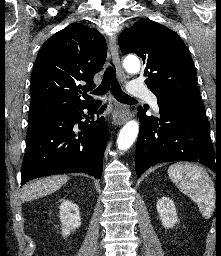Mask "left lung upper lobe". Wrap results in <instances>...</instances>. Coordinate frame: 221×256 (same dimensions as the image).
Segmentation results:
<instances>
[{"label":"left lung upper lobe","instance_id":"left-lung-upper-lobe-1","mask_svg":"<svg viewBox=\"0 0 221 256\" xmlns=\"http://www.w3.org/2000/svg\"><path fill=\"white\" fill-rule=\"evenodd\" d=\"M118 43L124 54L142 58L145 83L158 101L202 103L190 52L177 33L151 20H141L123 30Z\"/></svg>","mask_w":221,"mask_h":256}]
</instances>
